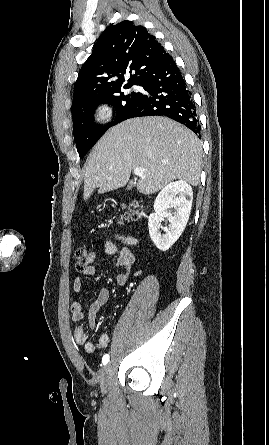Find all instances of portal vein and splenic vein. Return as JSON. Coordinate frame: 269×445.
<instances>
[{
  "mask_svg": "<svg viewBox=\"0 0 269 445\" xmlns=\"http://www.w3.org/2000/svg\"><path fill=\"white\" fill-rule=\"evenodd\" d=\"M147 171V169H145V168H142V167H137V168H135L134 169V174L136 175V176H143L144 175V172H146Z\"/></svg>",
  "mask_w": 269,
  "mask_h": 445,
  "instance_id": "18ae733b",
  "label": "portal vein and splenic vein"
}]
</instances>
